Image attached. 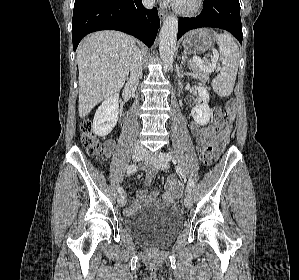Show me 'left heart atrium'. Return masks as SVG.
I'll return each instance as SVG.
<instances>
[{"mask_svg":"<svg viewBox=\"0 0 299 280\" xmlns=\"http://www.w3.org/2000/svg\"><path fill=\"white\" fill-rule=\"evenodd\" d=\"M166 1H168V2H170V3H173V4H176V3L179 2V0H166Z\"/></svg>","mask_w":299,"mask_h":280,"instance_id":"left-heart-atrium-1","label":"left heart atrium"}]
</instances>
